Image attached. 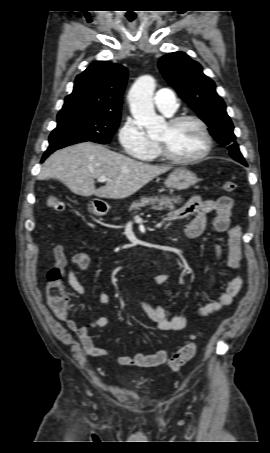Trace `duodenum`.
<instances>
[{
    "instance_id": "duodenum-1",
    "label": "duodenum",
    "mask_w": 270,
    "mask_h": 453,
    "mask_svg": "<svg viewBox=\"0 0 270 453\" xmlns=\"http://www.w3.org/2000/svg\"><path fill=\"white\" fill-rule=\"evenodd\" d=\"M100 211H101V213H102V214H104V212H105V210H104V209H102V210H100Z\"/></svg>"
}]
</instances>
